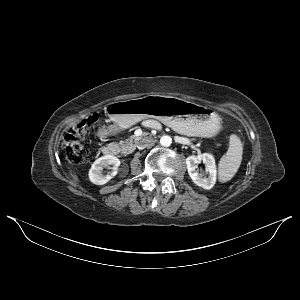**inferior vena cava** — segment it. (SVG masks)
Here are the masks:
<instances>
[{
    "instance_id": "obj_1",
    "label": "inferior vena cava",
    "mask_w": 300,
    "mask_h": 300,
    "mask_svg": "<svg viewBox=\"0 0 300 300\" xmlns=\"http://www.w3.org/2000/svg\"><path fill=\"white\" fill-rule=\"evenodd\" d=\"M154 144V140L150 137H144L138 142V149H144L150 145Z\"/></svg>"
}]
</instances>
